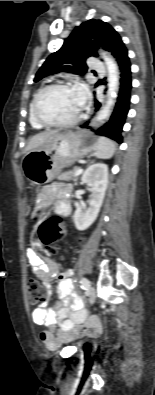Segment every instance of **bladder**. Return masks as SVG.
Listing matches in <instances>:
<instances>
[{
    "label": "bladder",
    "mask_w": 155,
    "mask_h": 395,
    "mask_svg": "<svg viewBox=\"0 0 155 395\" xmlns=\"http://www.w3.org/2000/svg\"><path fill=\"white\" fill-rule=\"evenodd\" d=\"M77 348H81L83 350H89L93 346V340L91 338H85L75 342L74 344Z\"/></svg>",
    "instance_id": "1"
}]
</instances>
